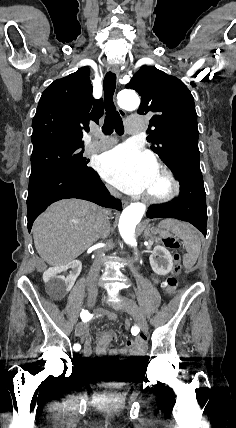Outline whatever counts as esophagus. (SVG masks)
I'll return each instance as SVG.
<instances>
[{
	"label": "esophagus",
	"instance_id": "obj_1",
	"mask_svg": "<svg viewBox=\"0 0 236 428\" xmlns=\"http://www.w3.org/2000/svg\"><path fill=\"white\" fill-rule=\"evenodd\" d=\"M109 69L111 70V72L116 73L117 75H119V65L117 64H111L109 66ZM119 114L124 118L126 116V112L120 108H118Z\"/></svg>",
	"mask_w": 236,
	"mask_h": 428
}]
</instances>
